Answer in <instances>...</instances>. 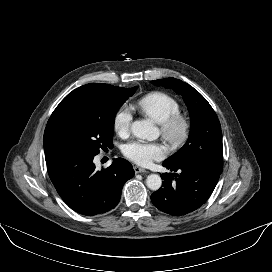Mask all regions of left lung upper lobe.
<instances>
[{
	"label": "left lung upper lobe",
	"instance_id": "1",
	"mask_svg": "<svg viewBox=\"0 0 272 272\" xmlns=\"http://www.w3.org/2000/svg\"><path fill=\"white\" fill-rule=\"evenodd\" d=\"M156 86L171 88L182 95L191 118V130L185 145L164 162L188 161L222 172V132L220 122L207 100L189 84L166 78L152 81Z\"/></svg>",
	"mask_w": 272,
	"mask_h": 272
}]
</instances>
